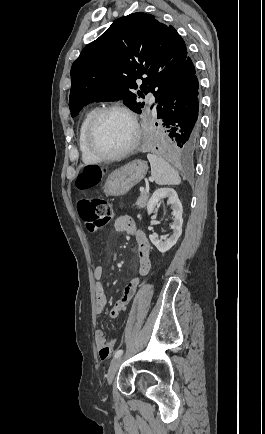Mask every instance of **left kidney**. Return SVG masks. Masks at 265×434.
<instances>
[{
	"mask_svg": "<svg viewBox=\"0 0 265 434\" xmlns=\"http://www.w3.org/2000/svg\"><path fill=\"white\" fill-rule=\"evenodd\" d=\"M163 198H168L169 204H171V208L173 210L172 216H174V222L171 226V230H173V234H171L170 238L168 240H165V242H161V240H158L154 234H150L149 238L156 246L157 250L159 252H168L172 246H175L178 238H180L182 234V224H183V208L182 204L173 188H158V190H155L153 196H151L148 204H147V212L150 216V214H155V208L158 206L160 200H163ZM148 230H153L151 226H149Z\"/></svg>",
	"mask_w": 265,
	"mask_h": 434,
	"instance_id": "5707ae66",
	"label": "left kidney"
}]
</instances>
